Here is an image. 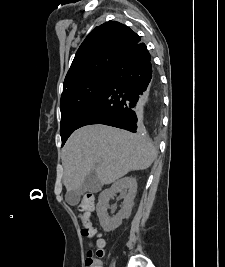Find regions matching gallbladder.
I'll return each mask as SVG.
<instances>
[{
    "mask_svg": "<svg viewBox=\"0 0 225 267\" xmlns=\"http://www.w3.org/2000/svg\"><path fill=\"white\" fill-rule=\"evenodd\" d=\"M102 188V183L100 180L91 172L88 176H86L82 182L80 188L72 191H68L66 193V201L68 204L74 206L77 205L80 201V196L84 193H96L100 191Z\"/></svg>",
    "mask_w": 225,
    "mask_h": 267,
    "instance_id": "1",
    "label": "gallbladder"
}]
</instances>
